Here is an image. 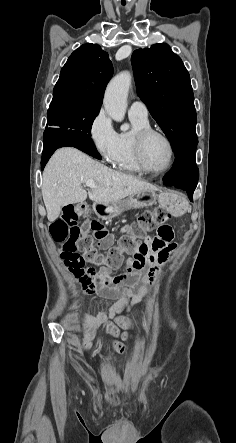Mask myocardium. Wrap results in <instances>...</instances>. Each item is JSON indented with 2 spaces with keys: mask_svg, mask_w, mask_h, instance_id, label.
<instances>
[{
  "mask_svg": "<svg viewBox=\"0 0 236 443\" xmlns=\"http://www.w3.org/2000/svg\"><path fill=\"white\" fill-rule=\"evenodd\" d=\"M153 135H157L160 136L161 138H163L168 147H169V151H170V159L169 162L167 164V166L161 170H152L150 169L145 161L144 158V147L146 144V141ZM133 150H134V158H135V162L137 167L140 169L141 172H144L146 174L149 175H162L166 172H168L175 161V147L174 144L172 142V140L170 139V137L163 132L160 129L157 128H153V127H145L142 128L140 130H138L135 135H134V139H133Z\"/></svg>",
  "mask_w": 236,
  "mask_h": 443,
  "instance_id": "obj_1",
  "label": "myocardium"
}]
</instances>
